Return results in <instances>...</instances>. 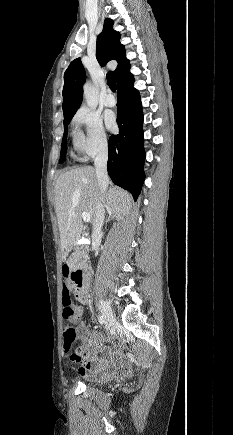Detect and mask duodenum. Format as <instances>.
I'll return each mask as SVG.
<instances>
[{
	"label": "duodenum",
	"instance_id": "obj_1",
	"mask_svg": "<svg viewBox=\"0 0 233 435\" xmlns=\"http://www.w3.org/2000/svg\"><path fill=\"white\" fill-rule=\"evenodd\" d=\"M87 251L88 246L83 244L79 246L77 250L71 251L67 257L68 266L77 277V282L74 284V290L76 299L81 303H87L88 301L84 279L88 275L89 269L86 262L83 260Z\"/></svg>",
	"mask_w": 233,
	"mask_h": 435
}]
</instances>
